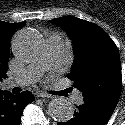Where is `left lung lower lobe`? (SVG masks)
Instances as JSON below:
<instances>
[{
	"mask_svg": "<svg viewBox=\"0 0 125 125\" xmlns=\"http://www.w3.org/2000/svg\"><path fill=\"white\" fill-rule=\"evenodd\" d=\"M114 107L98 106L83 103L77 106L73 117L66 122H58V125H105L112 113Z\"/></svg>",
	"mask_w": 125,
	"mask_h": 125,
	"instance_id": "obj_1",
	"label": "left lung lower lobe"
}]
</instances>
